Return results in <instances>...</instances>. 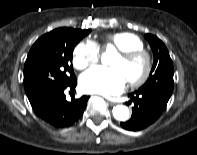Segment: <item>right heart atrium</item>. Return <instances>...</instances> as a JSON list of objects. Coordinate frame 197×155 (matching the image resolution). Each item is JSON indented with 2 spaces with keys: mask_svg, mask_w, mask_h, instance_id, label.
I'll use <instances>...</instances> for the list:
<instances>
[{
  "mask_svg": "<svg viewBox=\"0 0 197 155\" xmlns=\"http://www.w3.org/2000/svg\"><path fill=\"white\" fill-rule=\"evenodd\" d=\"M100 54L101 50L96 42L81 41L74 48L72 64L77 70L86 69L99 61Z\"/></svg>",
  "mask_w": 197,
  "mask_h": 155,
  "instance_id": "d8ad5b80",
  "label": "right heart atrium"
}]
</instances>
